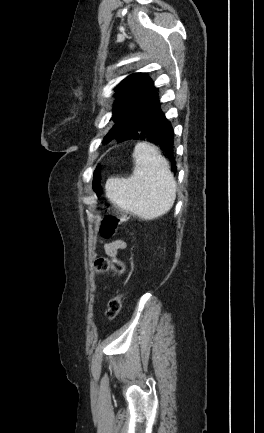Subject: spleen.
Returning a JSON list of instances; mask_svg holds the SVG:
<instances>
[{
    "mask_svg": "<svg viewBox=\"0 0 264 433\" xmlns=\"http://www.w3.org/2000/svg\"><path fill=\"white\" fill-rule=\"evenodd\" d=\"M133 158L135 167L131 176L106 181L107 198L143 220L166 214L176 199V182L169 162L156 146L147 142L136 144Z\"/></svg>",
    "mask_w": 264,
    "mask_h": 433,
    "instance_id": "1",
    "label": "spleen"
}]
</instances>
